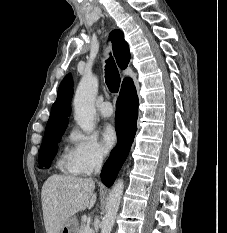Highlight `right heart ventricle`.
<instances>
[{
  "label": "right heart ventricle",
  "instance_id": "e07e8e85",
  "mask_svg": "<svg viewBox=\"0 0 227 233\" xmlns=\"http://www.w3.org/2000/svg\"><path fill=\"white\" fill-rule=\"evenodd\" d=\"M62 164L67 168V161L62 162Z\"/></svg>",
  "mask_w": 227,
  "mask_h": 233
}]
</instances>
